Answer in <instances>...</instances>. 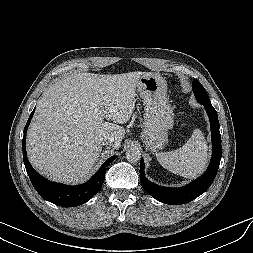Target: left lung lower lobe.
I'll list each match as a JSON object with an SVG mask.
<instances>
[{
    "label": "left lung lower lobe",
    "mask_w": 253,
    "mask_h": 253,
    "mask_svg": "<svg viewBox=\"0 0 253 253\" xmlns=\"http://www.w3.org/2000/svg\"><path fill=\"white\" fill-rule=\"evenodd\" d=\"M208 114L212 134V158L206 172L197 180L182 188L158 186L144 176V162L140 161V182L144 190L160 202L178 205L188 203L203 194L216 177L221 160V135L217 112L211 103H203Z\"/></svg>",
    "instance_id": "obj_1"
}]
</instances>
